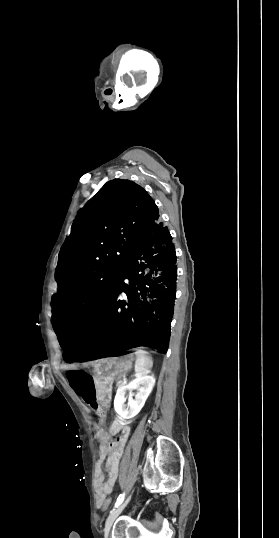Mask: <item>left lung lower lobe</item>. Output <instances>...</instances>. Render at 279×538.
Wrapping results in <instances>:
<instances>
[{"instance_id": "1", "label": "left lung lower lobe", "mask_w": 279, "mask_h": 538, "mask_svg": "<svg viewBox=\"0 0 279 538\" xmlns=\"http://www.w3.org/2000/svg\"><path fill=\"white\" fill-rule=\"evenodd\" d=\"M159 219V218H158ZM172 237L155 221L135 247L101 315L86 334L58 335L66 362H85L147 346L166 353L176 295ZM129 283H124V280ZM124 292L127 299L120 300Z\"/></svg>"}]
</instances>
